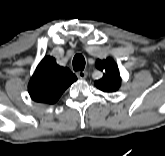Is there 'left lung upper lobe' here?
I'll return each instance as SVG.
<instances>
[{"instance_id": "obj_1", "label": "left lung upper lobe", "mask_w": 165, "mask_h": 156, "mask_svg": "<svg viewBox=\"0 0 165 156\" xmlns=\"http://www.w3.org/2000/svg\"><path fill=\"white\" fill-rule=\"evenodd\" d=\"M96 67L104 72V76L95 81V86L104 92L117 91L121 84V77L114 60L111 58L97 60Z\"/></svg>"}]
</instances>
